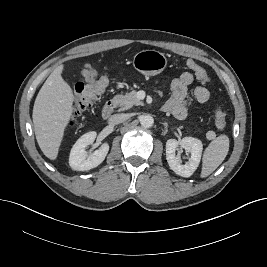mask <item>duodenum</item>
Segmentation results:
<instances>
[{"mask_svg":"<svg viewBox=\"0 0 267 267\" xmlns=\"http://www.w3.org/2000/svg\"><path fill=\"white\" fill-rule=\"evenodd\" d=\"M116 102L114 100H108L102 108V116L104 119H108L114 112Z\"/></svg>","mask_w":267,"mask_h":267,"instance_id":"obj_1","label":"duodenum"}]
</instances>
